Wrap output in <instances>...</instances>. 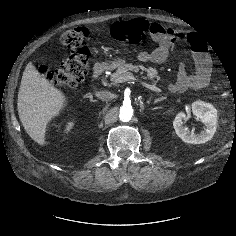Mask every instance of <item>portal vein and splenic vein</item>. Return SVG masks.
<instances>
[{
    "instance_id": "1",
    "label": "portal vein and splenic vein",
    "mask_w": 236,
    "mask_h": 236,
    "mask_svg": "<svg viewBox=\"0 0 236 236\" xmlns=\"http://www.w3.org/2000/svg\"><path fill=\"white\" fill-rule=\"evenodd\" d=\"M129 80H133V81H138V79H136L133 75L131 76H126V77H120L119 79H117L115 82H125V81H129ZM144 87L150 89V90H153V91H156V92H162V90L154 85H150V84H147L145 82H142V81H139Z\"/></svg>"
}]
</instances>
